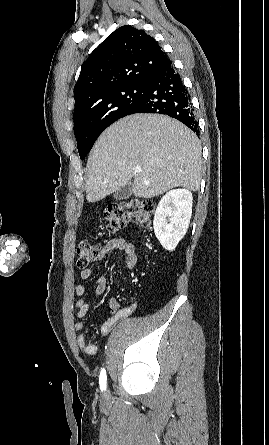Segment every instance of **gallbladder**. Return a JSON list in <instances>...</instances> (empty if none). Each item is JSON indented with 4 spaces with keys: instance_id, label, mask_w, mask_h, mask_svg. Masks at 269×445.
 Returning <instances> with one entry per match:
<instances>
[{
    "instance_id": "bac80fb5",
    "label": "gallbladder",
    "mask_w": 269,
    "mask_h": 445,
    "mask_svg": "<svg viewBox=\"0 0 269 445\" xmlns=\"http://www.w3.org/2000/svg\"><path fill=\"white\" fill-rule=\"evenodd\" d=\"M132 195V184L128 183L127 185L119 188L113 195L116 200H124L129 198Z\"/></svg>"
}]
</instances>
